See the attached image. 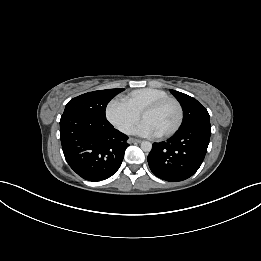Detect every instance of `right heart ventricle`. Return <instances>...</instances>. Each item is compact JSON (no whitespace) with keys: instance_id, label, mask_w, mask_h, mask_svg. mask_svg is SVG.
Returning <instances> with one entry per match:
<instances>
[{"instance_id":"obj_1","label":"right heart ventricle","mask_w":261,"mask_h":261,"mask_svg":"<svg viewBox=\"0 0 261 261\" xmlns=\"http://www.w3.org/2000/svg\"><path fill=\"white\" fill-rule=\"evenodd\" d=\"M169 97V95L161 89L143 88L134 90L122 99L139 114L150 103Z\"/></svg>"}]
</instances>
